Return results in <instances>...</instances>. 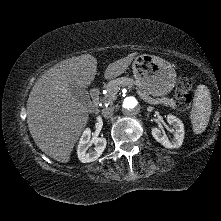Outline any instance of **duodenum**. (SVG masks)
<instances>
[{
    "mask_svg": "<svg viewBox=\"0 0 221 221\" xmlns=\"http://www.w3.org/2000/svg\"><path fill=\"white\" fill-rule=\"evenodd\" d=\"M91 97L94 103V107L97 110L100 102V90L98 88H94L91 91Z\"/></svg>",
    "mask_w": 221,
    "mask_h": 221,
    "instance_id": "duodenum-1",
    "label": "duodenum"
}]
</instances>
